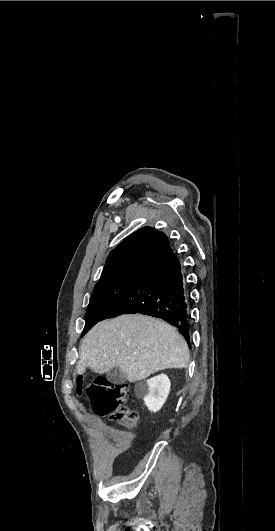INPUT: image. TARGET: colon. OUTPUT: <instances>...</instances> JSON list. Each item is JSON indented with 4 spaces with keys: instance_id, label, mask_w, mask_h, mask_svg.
<instances>
[{
    "instance_id": "1",
    "label": "colon",
    "mask_w": 275,
    "mask_h": 531,
    "mask_svg": "<svg viewBox=\"0 0 275 531\" xmlns=\"http://www.w3.org/2000/svg\"><path fill=\"white\" fill-rule=\"evenodd\" d=\"M77 389L87 392L92 411L98 416H108L126 429H131L137 420L138 412L123 405L129 395V386L113 380H106L102 376L92 380L88 385V378H77Z\"/></svg>"
}]
</instances>
